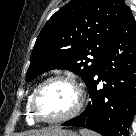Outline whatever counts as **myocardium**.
Masks as SVG:
<instances>
[{
    "instance_id": "obj_1",
    "label": "myocardium",
    "mask_w": 136,
    "mask_h": 136,
    "mask_svg": "<svg viewBox=\"0 0 136 136\" xmlns=\"http://www.w3.org/2000/svg\"><path fill=\"white\" fill-rule=\"evenodd\" d=\"M64 82L70 85L73 90L75 91L76 95V101L73 106V108L66 113L63 116L57 117V118H43L41 117L38 112L36 111V102L39 94L41 91L51 82ZM84 104V89L81 86L80 83H78L73 77L68 76V75H54L50 76L47 79H45L42 83H40L37 88L34 90L31 96L30 104H29V109L31 112L32 117L34 118L35 121L41 122V123H47V124H57V123H63L68 120L73 119L76 117L79 112L81 111L82 107Z\"/></svg>"
}]
</instances>
